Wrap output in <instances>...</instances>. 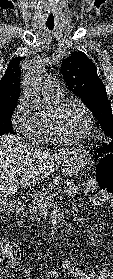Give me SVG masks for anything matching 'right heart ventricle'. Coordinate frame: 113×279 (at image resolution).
<instances>
[{
	"label": "right heart ventricle",
	"mask_w": 113,
	"mask_h": 279,
	"mask_svg": "<svg viewBox=\"0 0 113 279\" xmlns=\"http://www.w3.org/2000/svg\"><path fill=\"white\" fill-rule=\"evenodd\" d=\"M48 97L53 101L57 100L52 96L48 95ZM30 139L32 143L40 145L49 144L54 141V138L47 124V119L40 116L35 117V129Z\"/></svg>",
	"instance_id": "1"
}]
</instances>
